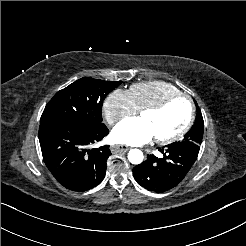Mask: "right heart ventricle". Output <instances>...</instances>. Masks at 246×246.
Instances as JSON below:
<instances>
[{
  "label": "right heart ventricle",
  "mask_w": 246,
  "mask_h": 246,
  "mask_svg": "<svg viewBox=\"0 0 246 246\" xmlns=\"http://www.w3.org/2000/svg\"><path fill=\"white\" fill-rule=\"evenodd\" d=\"M129 93L135 110L141 111L147 106L157 104L167 97L179 93V90L169 83L155 81L133 84L130 86Z\"/></svg>",
  "instance_id": "obj_1"
}]
</instances>
